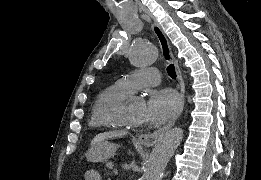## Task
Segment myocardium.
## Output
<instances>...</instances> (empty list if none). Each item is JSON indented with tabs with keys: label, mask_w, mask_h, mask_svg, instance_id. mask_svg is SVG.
<instances>
[{
	"label": "myocardium",
	"mask_w": 261,
	"mask_h": 180,
	"mask_svg": "<svg viewBox=\"0 0 261 180\" xmlns=\"http://www.w3.org/2000/svg\"><path fill=\"white\" fill-rule=\"evenodd\" d=\"M128 97L129 95L126 97L125 102H127ZM124 111H125V106H122L115 113L116 129L121 135L130 138H141L146 134V132L150 131V125H147L143 129H139L135 126L125 123L121 118Z\"/></svg>",
	"instance_id": "myocardium-1"
}]
</instances>
